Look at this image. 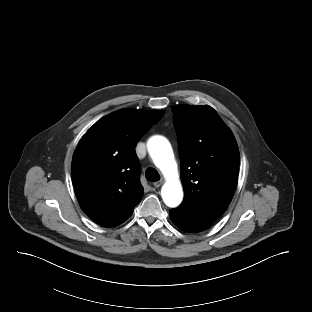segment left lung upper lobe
<instances>
[{
	"label": "left lung upper lobe",
	"mask_w": 312,
	"mask_h": 312,
	"mask_svg": "<svg viewBox=\"0 0 312 312\" xmlns=\"http://www.w3.org/2000/svg\"><path fill=\"white\" fill-rule=\"evenodd\" d=\"M181 159L184 200L179 209L215 221L238 182L239 150L232 131L210 106L172 107Z\"/></svg>",
	"instance_id": "left-lung-upper-lobe-1"
}]
</instances>
